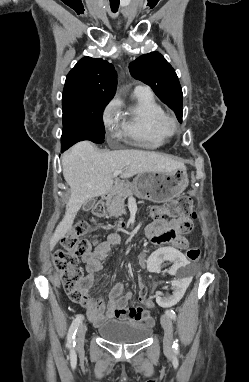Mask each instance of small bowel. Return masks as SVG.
Listing matches in <instances>:
<instances>
[{
    "label": "small bowel",
    "instance_id": "c3829d8e",
    "mask_svg": "<svg viewBox=\"0 0 249 382\" xmlns=\"http://www.w3.org/2000/svg\"><path fill=\"white\" fill-rule=\"evenodd\" d=\"M195 216H169L146 229L147 236L152 239L153 246H160L162 242H168L177 246V250L187 246L185 234L193 230ZM121 242L118 233L113 232L107 236L105 241L100 242L93 251L82 256L86 265L85 299L78 302L86 309L88 319L95 325H99L106 319L116 318L143 326H152L153 320L151 309L154 302L151 299L141 301V306L128 307L133 297L131 291H124V286L118 283L113 286L107 296V304L102 300H96L89 295V290L95 281V273L101 270V262L108 257L111 247ZM166 250V249H165ZM139 260H146L144 253L138 256ZM148 268V267H147Z\"/></svg>",
    "mask_w": 249,
    "mask_h": 382
}]
</instances>
